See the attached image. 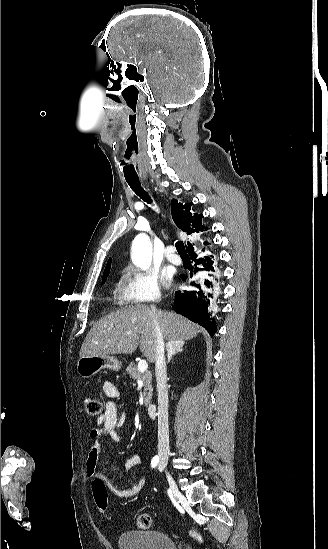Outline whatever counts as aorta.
<instances>
[{"instance_id": "aorta-1", "label": "aorta", "mask_w": 328, "mask_h": 549, "mask_svg": "<svg viewBox=\"0 0 328 549\" xmlns=\"http://www.w3.org/2000/svg\"><path fill=\"white\" fill-rule=\"evenodd\" d=\"M149 243V238L145 234H139L133 241V261L141 269H146L148 267V259L150 254Z\"/></svg>"}]
</instances>
